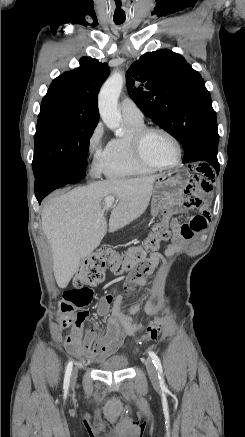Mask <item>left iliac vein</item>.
<instances>
[{
  "instance_id": "4c4485c4",
  "label": "left iliac vein",
  "mask_w": 245,
  "mask_h": 437,
  "mask_svg": "<svg viewBox=\"0 0 245 437\" xmlns=\"http://www.w3.org/2000/svg\"><path fill=\"white\" fill-rule=\"evenodd\" d=\"M149 378L153 385L158 386V376L153 361L148 358L145 362Z\"/></svg>"
}]
</instances>
